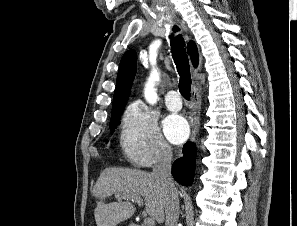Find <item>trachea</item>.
<instances>
[{
    "mask_svg": "<svg viewBox=\"0 0 297 226\" xmlns=\"http://www.w3.org/2000/svg\"><path fill=\"white\" fill-rule=\"evenodd\" d=\"M173 31L178 32L179 28L174 26ZM170 38L172 56L180 76L179 91L186 100H189L191 90V75L188 56L184 48L185 42L181 35H177L176 37H172L170 35Z\"/></svg>",
    "mask_w": 297,
    "mask_h": 226,
    "instance_id": "1",
    "label": "trachea"
}]
</instances>
